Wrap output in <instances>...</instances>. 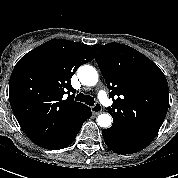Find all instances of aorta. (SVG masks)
I'll return each mask as SVG.
<instances>
[{"instance_id": "aorta-1", "label": "aorta", "mask_w": 178, "mask_h": 178, "mask_svg": "<svg viewBox=\"0 0 178 178\" xmlns=\"http://www.w3.org/2000/svg\"><path fill=\"white\" fill-rule=\"evenodd\" d=\"M80 82L86 86H95L98 82V73L90 65H83L77 71ZM97 123L102 128H109L112 124V117L109 114H100Z\"/></svg>"}]
</instances>
